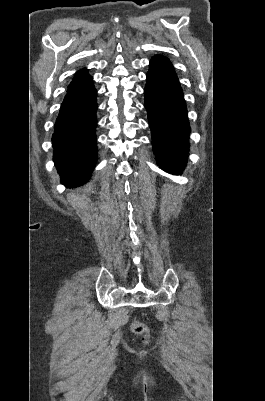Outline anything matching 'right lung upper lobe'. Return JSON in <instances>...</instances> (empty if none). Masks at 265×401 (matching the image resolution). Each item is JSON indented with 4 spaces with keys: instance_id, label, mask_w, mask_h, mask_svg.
<instances>
[{
    "instance_id": "cb5924a9",
    "label": "right lung upper lobe",
    "mask_w": 265,
    "mask_h": 401,
    "mask_svg": "<svg viewBox=\"0 0 265 401\" xmlns=\"http://www.w3.org/2000/svg\"><path fill=\"white\" fill-rule=\"evenodd\" d=\"M90 82H92V78L88 75V70H86V69L79 70L75 74V76L68 88H71V87L77 86V85H81V84L90 83Z\"/></svg>"
}]
</instances>
